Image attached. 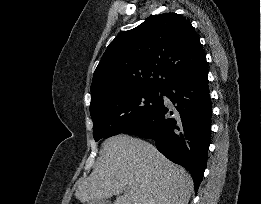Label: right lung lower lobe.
I'll list each match as a JSON object with an SVG mask.
<instances>
[{
	"instance_id": "98d812e1",
	"label": "right lung lower lobe",
	"mask_w": 261,
	"mask_h": 204,
	"mask_svg": "<svg viewBox=\"0 0 261 204\" xmlns=\"http://www.w3.org/2000/svg\"><path fill=\"white\" fill-rule=\"evenodd\" d=\"M206 58L162 90L174 105L160 102L122 133L155 140L157 149L192 175L195 193L202 181L211 131Z\"/></svg>"
}]
</instances>
